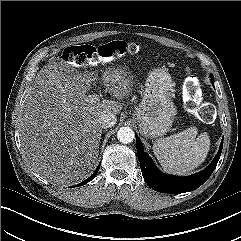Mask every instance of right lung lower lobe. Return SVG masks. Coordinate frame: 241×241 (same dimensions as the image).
I'll return each instance as SVG.
<instances>
[{
	"label": "right lung lower lobe",
	"mask_w": 241,
	"mask_h": 241,
	"mask_svg": "<svg viewBox=\"0 0 241 241\" xmlns=\"http://www.w3.org/2000/svg\"><path fill=\"white\" fill-rule=\"evenodd\" d=\"M100 168V165H98V167L96 168L95 172L89 177L87 178L86 180H84L83 182L79 183L77 186H82V185H85L86 183H88L89 181H91L95 176L96 174L98 173V170Z\"/></svg>",
	"instance_id": "1"
}]
</instances>
